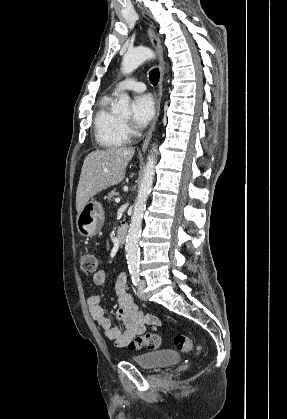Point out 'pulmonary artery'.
<instances>
[{"mask_svg":"<svg viewBox=\"0 0 287 419\" xmlns=\"http://www.w3.org/2000/svg\"><path fill=\"white\" fill-rule=\"evenodd\" d=\"M146 86L143 82L135 81V80H127L118 83L113 90V94L116 95L120 91L123 90H131V91H143L145 90Z\"/></svg>","mask_w":287,"mask_h":419,"instance_id":"pulmonary-artery-1","label":"pulmonary artery"}]
</instances>
